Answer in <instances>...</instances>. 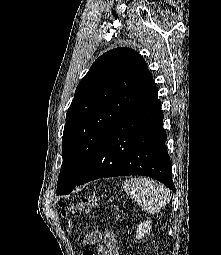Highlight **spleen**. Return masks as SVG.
Returning a JSON list of instances; mask_svg holds the SVG:
<instances>
[{"instance_id":"spleen-1","label":"spleen","mask_w":221,"mask_h":255,"mask_svg":"<svg viewBox=\"0 0 221 255\" xmlns=\"http://www.w3.org/2000/svg\"><path fill=\"white\" fill-rule=\"evenodd\" d=\"M123 189L132 199L143 204L145 212L157 213L170 201V192L163 185L148 178H130L124 181Z\"/></svg>"}]
</instances>
